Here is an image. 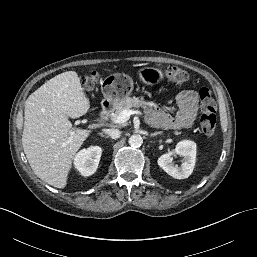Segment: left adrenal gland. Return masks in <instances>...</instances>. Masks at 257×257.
Segmentation results:
<instances>
[{
  "instance_id": "obj_1",
  "label": "left adrenal gland",
  "mask_w": 257,
  "mask_h": 257,
  "mask_svg": "<svg viewBox=\"0 0 257 257\" xmlns=\"http://www.w3.org/2000/svg\"><path fill=\"white\" fill-rule=\"evenodd\" d=\"M162 134H163V132H156V133L152 134V136H157V135H162Z\"/></svg>"
}]
</instances>
